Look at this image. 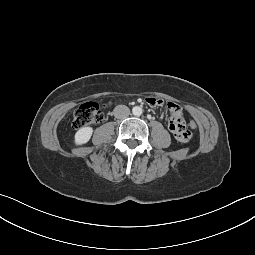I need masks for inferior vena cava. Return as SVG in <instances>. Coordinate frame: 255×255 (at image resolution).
I'll use <instances>...</instances> for the list:
<instances>
[{
  "instance_id": "obj_1",
  "label": "inferior vena cava",
  "mask_w": 255,
  "mask_h": 255,
  "mask_svg": "<svg viewBox=\"0 0 255 255\" xmlns=\"http://www.w3.org/2000/svg\"><path fill=\"white\" fill-rule=\"evenodd\" d=\"M117 119H124L130 115V109L126 105H118L113 110Z\"/></svg>"
}]
</instances>
